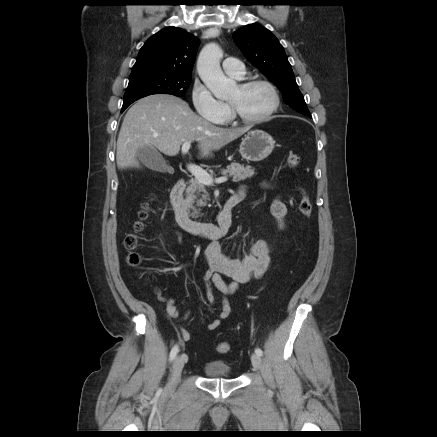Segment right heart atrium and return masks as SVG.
<instances>
[{
  "label": "right heart atrium",
  "instance_id": "right-heart-atrium-1",
  "mask_svg": "<svg viewBox=\"0 0 437 437\" xmlns=\"http://www.w3.org/2000/svg\"><path fill=\"white\" fill-rule=\"evenodd\" d=\"M191 100L197 114L210 122L221 123L230 114L228 104L216 98L200 81L193 85Z\"/></svg>",
  "mask_w": 437,
  "mask_h": 437
}]
</instances>
